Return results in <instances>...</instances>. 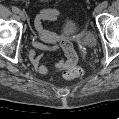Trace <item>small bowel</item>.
<instances>
[{"label":"small bowel","instance_id":"small-bowel-1","mask_svg":"<svg viewBox=\"0 0 119 119\" xmlns=\"http://www.w3.org/2000/svg\"><path fill=\"white\" fill-rule=\"evenodd\" d=\"M59 17L60 12L57 9L44 8L37 13L34 20L36 35L40 41L33 42L34 50L30 52L29 59L37 72L41 75H47L51 72L47 66L42 64V53L53 51L58 45H60L63 50L65 57L54 64L53 71L60 72L77 64V56L68 40L43 27V21L56 22Z\"/></svg>","mask_w":119,"mask_h":119}]
</instances>
